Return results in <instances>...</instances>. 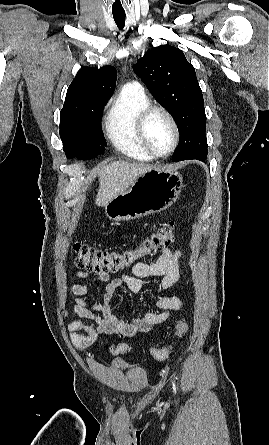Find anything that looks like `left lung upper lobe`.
<instances>
[{
	"label": "left lung upper lobe",
	"mask_w": 269,
	"mask_h": 445,
	"mask_svg": "<svg viewBox=\"0 0 269 445\" xmlns=\"http://www.w3.org/2000/svg\"><path fill=\"white\" fill-rule=\"evenodd\" d=\"M133 70L177 123L180 142L172 160H206L203 95L195 69L184 53L178 48L161 45L140 58Z\"/></svg>",
	"instance_id": "5c2ea615"
}]
</instances>
